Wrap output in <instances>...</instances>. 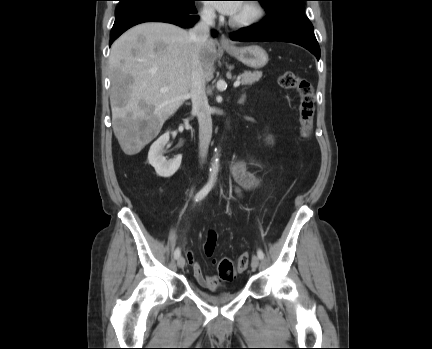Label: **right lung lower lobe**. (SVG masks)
<instances>
[{
    "mask_svg": "<svg viewBox=\"0 0 432 349\" xmlns=\"http://www.w3.org/2000/svg\"><path fill=\"white\" fill-rule=\"evenodd\" d=\"M194 1L134 0L120 5L116 10L109 46L127 29L143 22H167L185 28L193 26L198 19V16L189 15L196 12Z\"/></svg>",
    "mask_w": 432,
    "mask_h": 349,
    "instance_id": "98d812e1",
    "label": "right lung lower lobe"
}]
</instances>
